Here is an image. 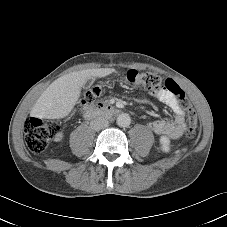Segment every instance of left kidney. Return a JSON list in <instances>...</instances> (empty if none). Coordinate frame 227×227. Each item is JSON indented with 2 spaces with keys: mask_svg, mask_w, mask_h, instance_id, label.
I'll return each mask as SVG.
<instances>
[{
  "mask_svg": "<svg viewBox=\"0 0 227 227\" xmlns=\"http://www.w3.org/2000/svg\"><path fill=\"white\" fill-rule=\"evenodd\" d=\"M160 144L162 146V149L166 152L170 150V139L166 136L160 137Z\"/></svg>",
  "mask_w": 227,
  "mask_h": 227,
  "instance_id": "1",
  "label": "left kidney"
}]
</instances>
